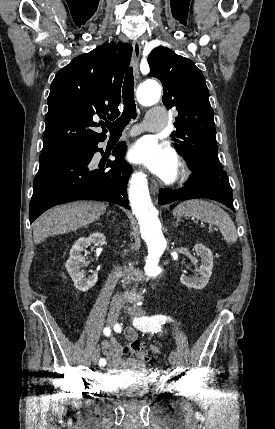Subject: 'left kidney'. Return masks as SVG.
<instances>
[{
	"mask_svg": "<svg viewBox=\"0 0 275 429\" xmlns=\"http://www.w3.org/2000/svg\"><path fill=\"white\" fill-rule=\"evenodd\" d=\"M194 249L196 251V254L201 257V266L198 270L200 277L190 278L187 277L185 274H182L180 277V281L188 288L201 290L205 288L211 277L213 268V256L210 249H208L203 244H195Z\"/></svg>",
	"mask_w": 275,
	"mask_h": 429,
	"instance_id": "left-kidney-1",
	"label": "left kidney"
}]
</instances>
